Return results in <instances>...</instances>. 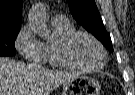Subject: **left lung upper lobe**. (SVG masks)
<instances>
[{"mask_svg":"<svg viewBox=\"0 0 135 95\" xmlns=\"http://www.w3.org/2000/svg\"><path fill=\"white\" fill-rule=\"evenodd\" d=\"M74 19L113 52L109 33L106 31L94 0H67Z\"/></svg>","mask_w":135,"mask_h":95,"instance_id":"1","label":"left lung upper lobe"}]
</instances>
